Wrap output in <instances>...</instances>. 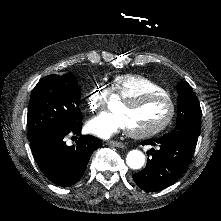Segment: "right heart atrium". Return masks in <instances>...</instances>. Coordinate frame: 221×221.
<instances>
[{
	"label": "right heart atrium",
	"mask_w": 221,
	"mask_h": 221,
	"mask_svg": "<svg viewBox=\"0 0 221 221\" xmlns=\"http://www.w3.org/2000/svg\"><path fill=\"white\" fill-rule=\"evenodd\" d=\"M93 95L94 96L89 98L88 105H89L90 108L95 109L99 105V100L98 99L103 97L104 92H103L102 89L97 88V89L94 90Z\"/></svg>",
	"instance_id": "d8ad5b80"
}]
</instances>
